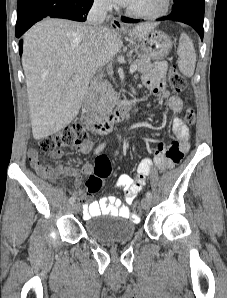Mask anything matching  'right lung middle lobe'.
Instances as JSON below:
<instances>
[{"mask_svg": "<svg viewBox=\"0 0 227 298\" xmlns=\"http://www.w3.org/2000/svg\"><path fill=\"white\" fill-rule=\"evenodd\" d=\"M23 1H25V0H18V4L21 3V2H23Z\"/></svg>", "mask_w": 227, "mask_h": 298, "instance_id": "obj_1", "label": "right lung middle lobe"}]
</instances>
